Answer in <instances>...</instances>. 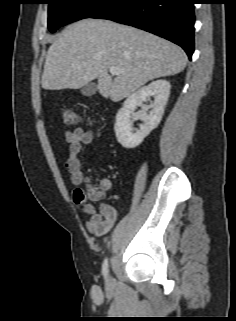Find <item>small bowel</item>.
<instances>
[{
    "label": "small bowel",
    "instance_id": "small-bowel-1",
    "mask_svg": "<svg viewBox=\"0 0 236 321\" xmlns=\"http://www.w3.org/2000/svg\"><path fill=\"white\" fill-rule=\"evenodd\" d=\"M94 137L95 134L92 130L85 129L82 126L65 132V139L69 144V156L66 160V169L70 181L74 186L81 185L85 180L81 158L84 147L90 144L94 140ZM98 187L105 196L110 191L112 184L109 179L102 178L98 182ZM77 189L78 188L73 192V201L83 214L89 216L85 224L86 229L96 236L104 235L114 225L117 219V210L104 201L99 202L97 208H95L79 196Z\"/></svg>",
    "mask_w": 236,
    "mask_h": 321
}]
</instances>
